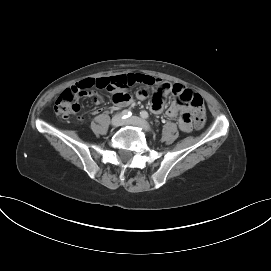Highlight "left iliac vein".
Listing matches in <instances>:
<instances>
[{
    "instance_id": "left-iliac-vein-1",
    "label": "left iliac vein",
    "mask_w": 271,
    "mask_h": 271,
    "mask_svg": "<svg viewBox=\"0 0 271 271\" xmlns=\"http://www.w3.org/2000/svg\"><path fill=\"white\" fill-rule=\"evenodd\" d=\"M123 124L138 126V127H141V128H143L145 130L150 129L149 124L145 120H143V119H141L139 117H136V116H132V117L124 120Z\"/></svg>"
}]
</instances>
